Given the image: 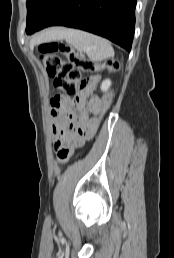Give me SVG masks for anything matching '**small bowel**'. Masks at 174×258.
<instances>
[{
    "mask_svg": "<svg viewBox=\"0 0 174 258\" xmlns=\"http://www.w3.org/2000/svg\"><path fill=\"white\" fill-rule=\"evenodd\" d=\"M99 76H91L82 83L79 97L76 101L67 96H55L50 101V115L54 135L56 157L60 162H66L75 148L82 146L95 133L99 121H96L101 109L102 97L93 89L99 82ZM89 97V112L86 114L84 99ZM73 106L77 111L73 110ZM93 117V118H88Z\"/></svg>",
    "mask_w": 174,
    "mask_h": 258,
    "instance_id": "small-bowel-1",
    "label": "small bowel"
}]
</instances>
